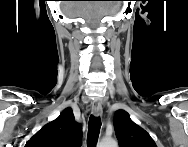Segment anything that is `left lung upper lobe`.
<instances>
[{
  "mask_svg": "<svg viewBox=\"0 0 188 147\" xmlns=\"http://www.w3.org/2000/svg\"><path fill=\"white\" fill-rule=\"evenodd\" d=\"M114 128L120 147H157L150 135L124 110L116 112Z\"/></svg>",
  "mask_w": 188,
  "mask_h": 147,
  "instance_id": "5c2ea615",
  "label": "left lung upper lobe"
}]
</instances>
